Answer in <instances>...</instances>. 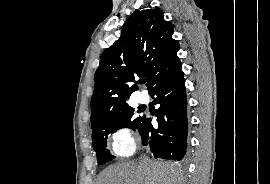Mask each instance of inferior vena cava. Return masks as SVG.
Here are the masks:
<instances>
[{
	"label": "inferior vena cava",
	"instance_id": "obj_1",
	"mask_svg": "<svg viewBox=\"0 0 270 184\" xmlns=\"http://www.w3.org/2000/svg\"><path fill=\"white\" fill-rule=\"evenodd\" d=\"M141 162L147 165L150 163V160L148 158H144Z\"/></svg>",
	"mask_w": 270,
	"mask_h": 184
}]
</instances>
